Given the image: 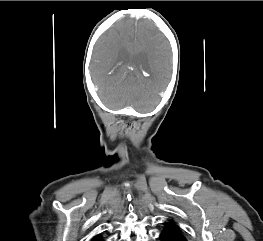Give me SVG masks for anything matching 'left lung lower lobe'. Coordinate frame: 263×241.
<instances>
[{"mask_svg":"<svg viewBox=\"0 0 263 241\" xmlns=\"http://www.w3.org/2000/svg\"><path fill=\"white\" fill-rule=\"evenodd\" d=\"M160 239L161 241H187L181 229L171 221L164 223Z\"/></svg>","mask_w":263,"mask_h":241,"instance_id":"1","label":"left lung lower lobe"}]
</instances>
